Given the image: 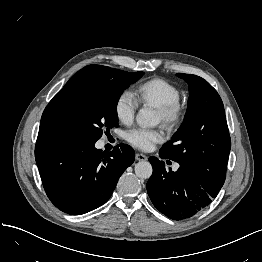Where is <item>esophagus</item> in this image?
<instances>
[{"label": "esophagus", "mask_w": 262, "mask_h": 262, "mask_svg": "<svg viewBox=\"0 0 262 262\" xmlns=\"http://www.w3.org/2000/svg\"><path fill=\"white\" fill-rule=\"evenodd\" d=\"M135 159L137 161H145V160H147V156L145 154H142V153H137L135 155Z\"/></svg>", "instance_id": "1"}]
</instances>
